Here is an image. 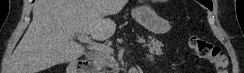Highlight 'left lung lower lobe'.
<instances>
[{
  "instance_id": "left-lung-lower-lobe-1",
  "label": "left lung lower lobe",
  "mask_w": 244,
  "mask_h": 73,
  "mask_svg": "<svg viewBox=\"0 0 244 73\" xmlns=\"http://www.w3.org/2000/svg\"><path fill=\"white\" fill-rule=\"evenodd\" d=\"M200 3H202L203 5H205L206 7H208L210 10L213 9V5L211 0H198Z\"/></svg>"
}]
</instances>
